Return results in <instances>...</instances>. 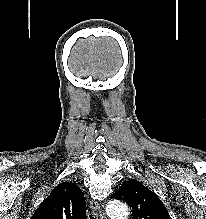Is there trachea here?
<instances>
[{"instance_id":"obj_1","label":"trachea","mask_w":206,"mask_h":219,"mask_svg":"<svg viewBox=\"0 0 206 219\" xmlns=\"http://www.w3.org/2000/svg\"><path fill=\"white\" fill-rule=\"evenodd\" d=\"M89 217H90V219H97V218H95V217L92 216V215H89Z\"/></svg>"}]
</instances>
